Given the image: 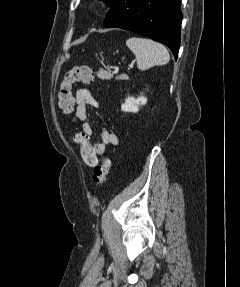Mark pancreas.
Listing matches in <instances>:
<instances>
[{
  "label": "pancreas",
  "mask_w": 240,
  "mask_h": 287,
  "mask_svg": "<svg viewBox=\"0 0 240 287\" xmlns=\"http://www.w3.org/2000/svg\"><path fill=\"white\" fill-rule=\"evenodd\" d=\"M97 76L102 79V80H109L113 77V74H111L110 72L108 71H105V70H100L98 73H97ZM124 78L123 76L119 75L116 77V79H122Z\"/></svg>",
  "instance_id": "obj_1"
}]
</instances>
